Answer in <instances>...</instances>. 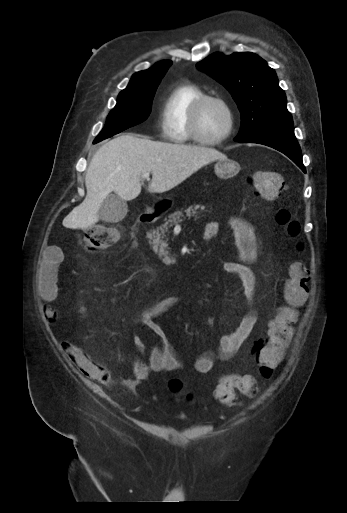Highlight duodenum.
Segmentation results:
<instances>
[{"mask_svg": "<svg viewBox=\"0 0 347 513\" xmlns=\"http://www.w3.org/2000/svg\"><path fill=\"white\" fill-rule=\"evenodd\" d=\"M165 211H166L165 204H163L161 202L155 203L149 210H147L146 212L142 213L139 216L137 223L134 227V230L138 231L140 228L150 225L155 219H157Z\"/></svg>", "mask_w": 347, "mask_h": 513, "instance_id": "1", "label": "duodenum"}]
</instances>
